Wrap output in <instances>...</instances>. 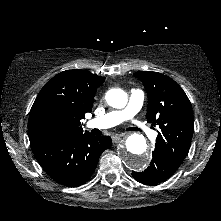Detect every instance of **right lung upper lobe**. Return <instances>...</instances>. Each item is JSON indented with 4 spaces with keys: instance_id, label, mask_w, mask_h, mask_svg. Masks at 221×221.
I'll use <instances>...</instances> for the list:
<instances>
[{
    "instance_id": "cb5924a9",
    "label": "right lung upper lobe",
    "mask_w": 221,
    "mask_h": 221,
    "mask_svg": "<svg viewBox=\"0 0 221 221\" xmlns=\"http://www.w3.org/2000/svg\"><path fill=\"white\" fill-rule=\"evenodd\" d=\"M105 81L86 70H66L48 81L31 108L28 122L30 143L89 134L81 120L92 111L97 88Z\"/></svg>"
}]
</instances>
